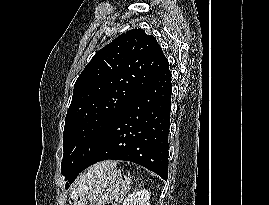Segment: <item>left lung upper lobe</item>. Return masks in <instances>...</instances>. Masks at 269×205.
<instances>
[{
	"label": "left lung upper lobe",
	"mask_w": 269,
	"mask_h": 205,
	"mask_svg": "<svg viewBox=\"0 0 269 205\" xmlns=\"http://www.w3.org/2000/svg\"><path fill=\"white\" fill-rule=\"evenodd\" d=\"M167 63L156 38L142 29L123 33L96 52L75 82L65 118L61 172L66 187L87 154L85 146L99 141Z\"/></svg>",
	"instance_id": "obj_1"
}]
</instances>
